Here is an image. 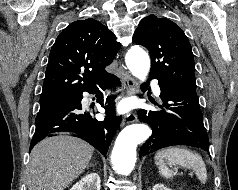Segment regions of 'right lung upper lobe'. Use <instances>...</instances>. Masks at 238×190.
<instances>
[{
    "mask_svg": "<svg viewBox=\"0 0 238 190\" xmlns=\"http://www.w3.org/2000/svg\"><path fill=\"white\" fill-rule=\"evenodd\" d=\"M120 48L115 35L89 18L67 26L49 55L40 102L77 97L110 77V65Z\"/></svg>",
    "mask_w": 238,
    "mask_h": 190,
    "instance_id": "1",
    "label": "right lung upper lobe"
}]
</instances>
